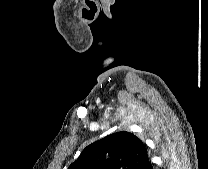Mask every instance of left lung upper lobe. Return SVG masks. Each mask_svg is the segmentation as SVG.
Returning <instances> with one entry per match:
<instances>
[{
	"label": "left lung upper lobe",
	"instance_id": "obj_1",
	"mask_svg": "<svg viewBox=\"0 0 208 169\" xmlns=\"http://www.w3.org/2000/svg\"><path fill=\"white\" fill-rule=\"evenodd\" d=\"M148 160L143 142L121 131L88 145L68 169H143Z\"/></svg>",
	"mask_w": 208,
	"mask_h": 169
}]
</instances>
